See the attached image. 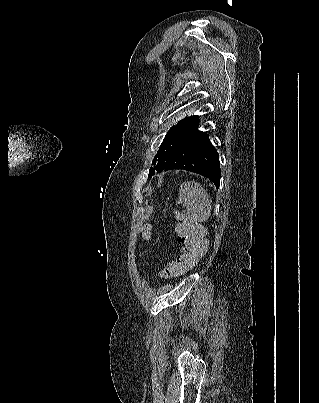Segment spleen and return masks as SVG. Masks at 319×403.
<instances>
[{
  "label": "spleen",
  "instance_id": "spleen-1",
  "mask_svg": "<svg viewBox=\"0 0 319 403\" xmlns=\"http://www.w3.org/2000/svg\"><path fill=\"white\" fill-rule=\"evenodd\" d=\"M178 203L186 207V216L195 222H205L211 215V200L198 182L187 181L180 185Z\"/></svg>",
  "mask_w": 319,
  "mask_h": 403
}]
</instances>
